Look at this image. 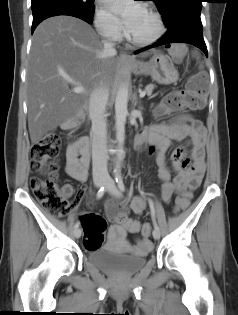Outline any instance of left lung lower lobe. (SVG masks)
<instances>
[{
  "instance_id": "obj_1",
  "label": "left lung lower lobe",
  "mask_w": 238,
  "mask_h": 315,
  "mask_svg": "<svg viewBox=\"0 0 238 315\" xmlns=\"http://www.w3.org/2000/svg\"><path fill=\"white\" fill-rule=\"evenodd\" d=\"M201 10L190 9L178 14L175 19L166 24L167 32L153 45L145 47L136 53L148 50L150 48L166 45L170 43H188L200 48L206 56L207 47L203 39L202 22L200 19Z\"/></svg>"
}]
</instances>
